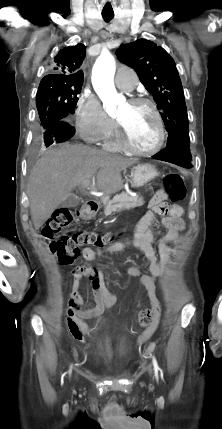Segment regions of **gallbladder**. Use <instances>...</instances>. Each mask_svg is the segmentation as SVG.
Returning <instances> with one entry per match:
<instances>
[{"label": "gallbladder", "mask_w": 222, "mask_h": 429, "mask_svg": "<svg viewBox=\"0 0 222 429\" xmlns=\"http://www.w3.org/2000/svg\"><path fill=\"white\" fill-rule=\"evenodd\" d=\"M79 201V198L69 194L67 198L61 203V206L66 208L76 207L79 204Z\"/></svg>", "instance_id": "gallbladder-1"}]
</instances>
